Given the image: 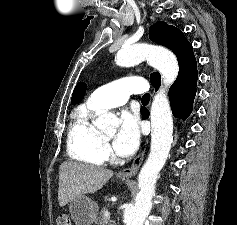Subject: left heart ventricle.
<instances>
[{
  "instance_id": "left-heart-ventricle-1",
  "label": "left heart ventricle",
  "mask_w": 237,
  "mask_h": 225,
  "mask_svg": "<svg viewBox=\"0 0 237 225\" xmlns=\"http://www.w3.org/2000/svg\"><path fill=\"white\" fill-rule=\"evenodd\" d=\"M114 135H115V132H111L109 134H106L105 136L107 139H112L114 137Z\"/></svg>"
}]
</instances>
